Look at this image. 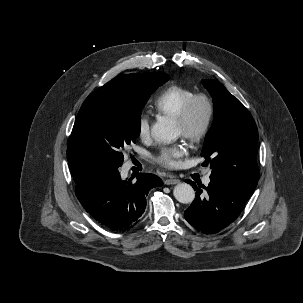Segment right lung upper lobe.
Returning <instances> with one entry per match:
<instances>
[{
    "label": "right lung upper lobe",
    "instance_id": "cb5924a9",
    "mask_svg": "<svg viewBox=\"0 0 303 303\" xmlns=\"http://www.w3.org/2000/svg\"><path fill=\"white\" fill-rule=\"evenodd\" d=\"M155 73L157 72L121 75L112 79L108 84L121 90L142 91L151 82ZM83 164L88 171L95 168L91 163L84 161Z\"/></svg>",
    "mask_w": 303,
    "mask_h": 303
}]
</instances>
